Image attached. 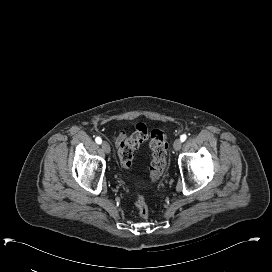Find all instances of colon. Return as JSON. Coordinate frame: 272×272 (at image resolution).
<instances>
[{
    "label": "colon",
    "mask_w": 272,
    "mask_h": 272,
    "mask_svg": "<svg viewBox=\"0 0 272 272\" xmlns=\"http://www.w3.org/2000/svg\"><path fill=\"white\" fill-rule=\"evenodd\" d=\"M150 141L152 150V162L150 165L148 180L155 181L160 178L167 164L168 143L166 135L161 129L150 130L144 123H138L134 133L119 144V155L121 165L128 170L134 159L135 150L145 141ZM137 214L146 218L150 213V206L142 196L138 197L135 202Z\"/></svg>",
    "instance_id": "obj_1"
}]
</instances>
